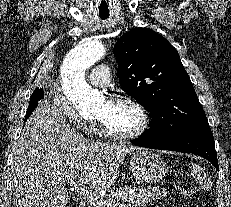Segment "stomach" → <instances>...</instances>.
Masks as SVG:
<instances>
[{
    "instance_id": "obj_1",
    "label": "stomach",
    "mask_w": 231,
    "mask_h": 207,
    "mask_svg": "<svg viewBox=\"0 0 231 207\" xmlns=\"http://www.w3.org/2000/svg\"><path fill=\"white\" fill-rule=\"evenodd\" d=\"M130 169L136 180L143 184H157L168 172L167 163L152 150L142 149L131 156Z\"/></svg>"
}]
</instances>
